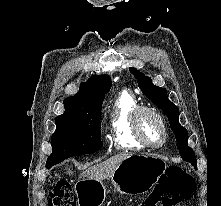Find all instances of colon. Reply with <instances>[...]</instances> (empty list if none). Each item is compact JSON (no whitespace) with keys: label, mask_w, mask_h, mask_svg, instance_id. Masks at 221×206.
I'll return each instance as SVG.
<instances>
[{"label":"colon","mask_w":221,"mask_h":206,"mask_svg":"<svg viewBox=\"0 0 221 206\" xmlns=\"http://www.w3.org/2000/svg\"><path fill=\"white\" fill-rule=\"evenodd\" d=\"M195 189L194 179L179 167H170L161 183L141 206H176ZM49 206H76L75 193L67 180L56 181L49 191Z\"/></svg>","instance_id":"1"}]
</instances>
